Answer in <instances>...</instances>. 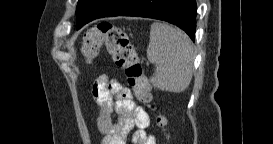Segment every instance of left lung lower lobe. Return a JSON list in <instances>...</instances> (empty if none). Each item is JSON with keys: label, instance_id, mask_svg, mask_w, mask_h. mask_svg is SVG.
<instances>
[{"label": "left lung lower lobe", "instance_id": "obj_1", "mask_svg": "<svg viewBox=\"0 0 273 144\" xmlns=\"http://www.w3.org/2000/svg\"><path fill=\"white\" fill-rule=\"evenodd\" d=\"M195 0H96L77 10V29L86 23L110 16H138L165 20L183 29L194 41Z\"/></svg>", "mask_w": 273, "mask_h": 144}]
</instances>
